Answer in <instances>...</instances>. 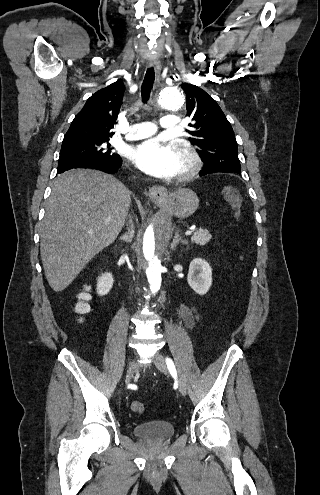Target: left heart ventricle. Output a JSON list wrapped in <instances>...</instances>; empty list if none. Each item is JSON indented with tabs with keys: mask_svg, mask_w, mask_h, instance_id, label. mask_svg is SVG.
Here are the masks:
<instances>
[{
	"mask_svg": "<svg viewBox=\"0 0 320 495\" xmlns=\"http://www.w3.org/2000/svg\"><path fill=\"white\" fill-rule=\"evenodd\" d=\"M176 153H177V157H178V171H177V174H178L184 167V161H183L182 156L177 151H176Z\"/></svg>",
	"mask_w": 320,
	"mask_h": 495,
	"instance_id": "1",
	"label": "left heart ventricle"
}]
</instances>
